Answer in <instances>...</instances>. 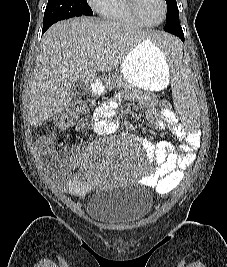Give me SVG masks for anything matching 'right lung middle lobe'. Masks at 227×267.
<instances>
[{"label":"right lung middle lobe","instance_id":"1","mask_svg":"<svg viewBox=\"0 0 227 267\" xmlns=\"http://www.w3.org/2000/svg\"><path fill=\"white\" fill-rule=\"evenodd\" d=\"M81 15H93L86 0H48L43 21H60Z\"/></svg>","mask_w":227,"mask_h":267}]
</instances>
